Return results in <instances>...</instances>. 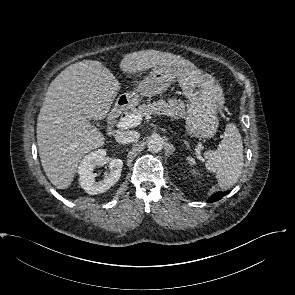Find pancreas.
I'll use <instances>...</instances> for the list:
<instances>
[{"instance_id":"pancreas-1","label":"pancreas","mask_w":295,"mask_h":295,"mask_svg":"<svg viewBox=\"0 0 295 295\" xmlns=\"http://www.w3.org/2000/svg\"><path fill=\"white\" fill-rule=\"evenodd\" d=\"M132 112L141 116L162 114L176 118H183L186 114L184 103L175 98H170L168 101L159 100L149 104H142L138 109H132Z\"/></svg>"}]
</instances>
